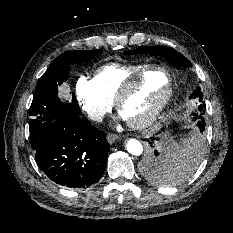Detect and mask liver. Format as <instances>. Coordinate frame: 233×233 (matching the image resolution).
Instances as JSON below:
<instances>
[{
  "label": "liver",
  "mask_w": 233,
  "mask_h": 233,
  "mask_svg": "<svg viewBox=\"0 0 233 233\" xmlns=\"http://www.w3.org/2000/svg\"><path fill=\"white\" fill-rule=\"evenodd\" d=\"M58 92H59V96L60 98H64V99H69L70 97V90L68 85L63 84L60 87H58Z\"/></svg>",
  "instance_id": "6515ba94"
}]
</instances>
